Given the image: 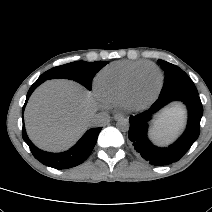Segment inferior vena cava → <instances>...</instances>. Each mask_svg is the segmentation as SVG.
Returning a JSON list of instances; mask_svg holds the SVG:
<instances>
[{"label": "inferior vena cava", "mask_w": 212, "mask_h": 212, "mask_svg": "<svg viewBox=\"0 0 212 212\" xmlns=\"http://www.w3.org/2000/svg\"><path fill=\"white\" fill-rule=\"evenodd\" d=\"M109 118L110 117L107 113H97L92 116L90 122L92 126L99 127L105 125Z\"/></svg>", "instance_id": "inferior-vena-cava-1"}]
</instances>
